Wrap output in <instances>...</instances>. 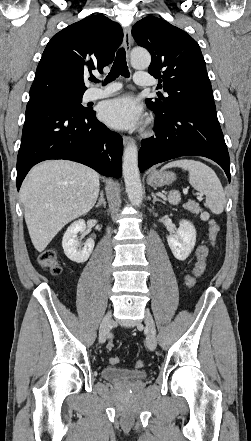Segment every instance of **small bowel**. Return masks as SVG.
Returning <instances> with one entry per match:
<instances>
[{
    "label": "small bowel",
    "instance_id": "obj_1",
    "mask_svg": "<svg viewBox=\"0 0 251 441\" xmlns=\"http://www.w3.org/2000/svg\"><path fill=\"white\" fill-rule=\"evenodd\" d=\"M208 253V249L205 245H201L197 248L196 250V265H195V269L194 272L197 275H200L205 267V258L207 256Z\"/></svg>",
    "mask_w": 251,
    "mask_h": 441
}]
</instances>
